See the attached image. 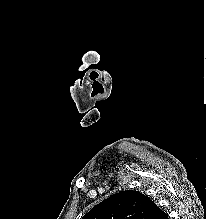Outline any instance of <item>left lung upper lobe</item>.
Returning a JSON list of instances; mask_svg holds the SVG:
<instances>
[{
	"mask_svg": "<svg viewBox=\"0 0 206 219\" xmlns=\"http://www.w3.org/2000/svg\"><path fill=\"white\" fill-rule=\"evenodd\" d=\"M154 205L144 194L126 190L95 205L82 219H150Z\"/></svg>",
	"mask_w": 206,
	"mask_h": 219,
	"instance_id": "5c2ea615",
	"label": "left lung upper lobe"
}]
</instances>
